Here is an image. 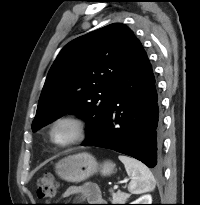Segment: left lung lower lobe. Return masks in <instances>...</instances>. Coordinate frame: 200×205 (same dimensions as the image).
Returning a JSON list of instances; mask_svg holds the SVG:
<instances>
[{"label":"left lung lower lobe","mask_w":200,"mask_h":205,"mask_svg":"<svg viewBox=\"0 0 200 205\" xmlns=\"http://www.w3.org/2000/svg\"><path fill=\"white\" fill-rule=\"evenodd\" d=\"M161 128L154 74L137 40L115 82L102 128L82 145L111 149L154 168L160 165Z\"/></svg>","instance_id":"0a47b994"}]
</instances>
